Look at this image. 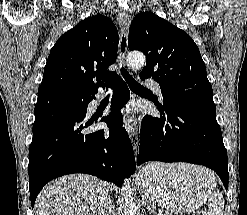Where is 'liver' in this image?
<instances>
[{
    "label": "liver",
    "instance_id": "liver-1",
    "mask_svg": "<svg viewBox=\"0 0 247 215\" xmlns=\"http://www.w3.org/2000/svg\"><path fill=\"white\" fill-rule=\"evenodd\" d=\"M108 200L104 181L87 174H71L41 191L35 215H104Z\"/></svg>",
    "mask_w": 247,
    "mask_h": 215
}]
</instances>
